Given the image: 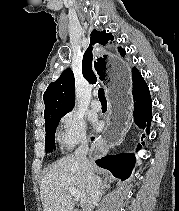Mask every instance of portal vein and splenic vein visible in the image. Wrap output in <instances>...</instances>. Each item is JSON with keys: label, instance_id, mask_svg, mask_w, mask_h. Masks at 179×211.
Masks as SVG:
<instances>
[{"label": "portal vein and splenic vein", "instance_id": "obj_1", "mask_svg": "<svg viewBox=\"0 0 179 211\" xmlns=\"http://www.w3.org/2000/svg\"><path fill=\"white\" fill-rule=\"evenodd\" d=\"M68 190H69V193L75 198H81V193L77 189L69 187Z\"/></svg>", "mask_w": 179, "mask_h": 211}]
</instances>
